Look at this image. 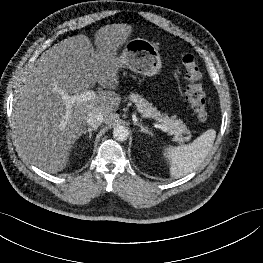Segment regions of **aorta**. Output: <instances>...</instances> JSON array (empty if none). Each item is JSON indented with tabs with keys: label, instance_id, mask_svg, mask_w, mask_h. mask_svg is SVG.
Instances as JSON below:
<instances>
[{
	"label": "aorta",
	"instance_id": "aorta-1",
	"mask_svg": "<svg viewBox=\"0 0 263 263\" xmlns=\"http://www.w3.org/2000/svg\"><path fill=\"white\" fill-rule=\"evenodd\" d=\"M129 136L128 128L125 126H116L113 130V137L118 141H125Z\"/></svg>",
	"mask_w": 263,
	"mask_h": 263
}]
</instances>
